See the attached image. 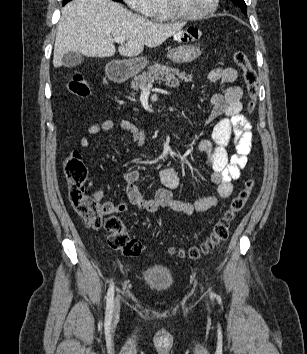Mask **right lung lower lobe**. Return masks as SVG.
I'll return each mask as SVG.
<instances>
[{
	"mask_svg": "<svg viewBox=\"0 0 307 354\" xmlns=\"http://www.w3.org/2000/svg\"><path fill=\"white\" fill-rule=\"evenodd\" d=\"M66 3H67V2H64V1H63V5H65Z\"/></svg>",
	"mask_w": 307,
	"mask_h": 354,
	"instance_id": "right-lung-lower-lobe-1",
	"label": "right lung lower lobe"
}]
</instances>
